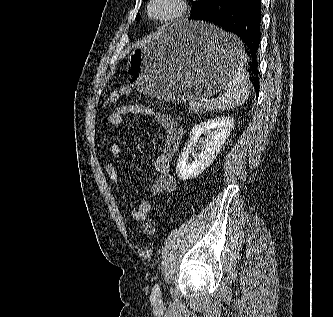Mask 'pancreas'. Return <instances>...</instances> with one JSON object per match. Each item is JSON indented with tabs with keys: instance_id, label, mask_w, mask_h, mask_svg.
I'll use <instances>...</instances> for the list:
<instances>
[{
	"instance_id": "obj_1",
	"label": "pancreas",
	"mask_w": 333,
	"mask_h": 317,
	"mask_svg": "<svg viewBox=\"0 0 333 317\" xmlns=\"http://www.w3.org/2000/svg\"><path fill=\"white\" fill-rule=\"evenodd\" d=\"M214 107L210 103H199L198 105H190V111L194 113H199L202 111L212 110Z\"/></svg>"
}]
</instances>
